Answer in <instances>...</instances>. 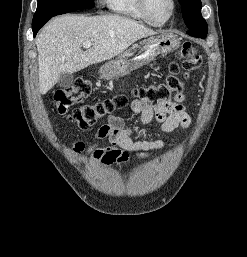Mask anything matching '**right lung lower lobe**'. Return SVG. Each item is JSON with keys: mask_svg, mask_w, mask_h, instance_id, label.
I'll list each match as a JSON object with an SVG mask.
<instances>
[{"mask_svg": "<svg viewBox=\"0 0 247 257\" xmlns=\"http://www.w3.org/2000/svg\"><path fill=\"white\" fill-rule=\"evenodd\" d=\"M52 17L46 18L44 20H41L37 23H32V30L34 37L36 36L37 32L43 27V25Z\"/></svg>", "mask_w": 247, "mask_h": 257, "instance_id": "98d812e1", "label": "right lung lower lobe"}]
</instances>
